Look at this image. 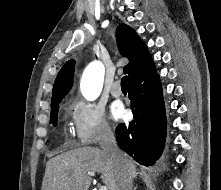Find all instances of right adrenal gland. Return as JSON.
<instances>
[{"instance_id": "right-adrenal-gland-1", "label": "right adrenal gland", "mask_w": 221, "mask_h": 190, "mask_svg": "<svg viewBox=\"0 0 221 190\" xmlns=\"http://www.w3.org/2000/svg\"><path fill=\"white\" fill-rule=\"evenodd\" d=\"M133 190H137V187H134V189Z\"/></svg>"}]
</instances>
